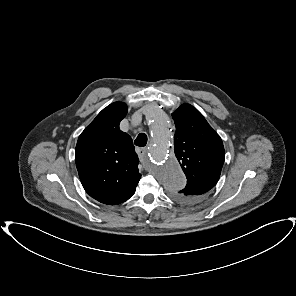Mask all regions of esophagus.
I'll return each mask as SVG.
<instances>
[{"label": "esophagus", "instance_id": "esophagus-1", "mask_svg": "<svg viewBox=\"0 0 296 296\" xmlns=\"http://www.w3.org/2000/svg\"><path fill=\"white\" fill-rule=\"evenodd\" d=\"M136 151H137L140 161L142 162L146 157L147 149L146 148H137Z\"/></svg>", "mask_w": 296, "mask_h": 296}]
</instances>
